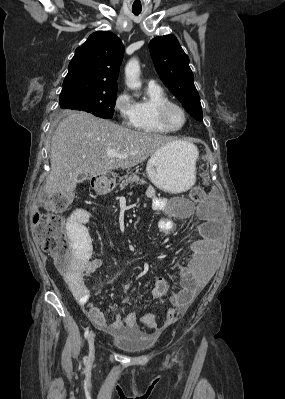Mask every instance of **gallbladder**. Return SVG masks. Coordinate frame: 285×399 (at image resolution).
Wrapping results in <instances>:
<instances>
[{
  "label": "gallbladder",
  "mask_w": 285,
  "mask_h": 399,
  "mask_svg": "<svg viewBox=\"0 0 285 399\" xmlns=\"http://www.w3.org/2000/svg\"><path fill=\"white\" fill-rule=\"evenodd\" d=\"M86 179H88V175H87L86 173H81V174L78 176V182H79V183L83 182V181L86 180Z\"/></svg>",
  "instance_id": "1"
}]
</instances>
